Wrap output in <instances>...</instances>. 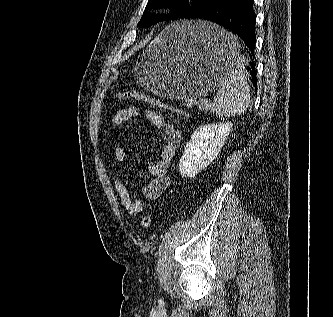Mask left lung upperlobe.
Wrapping results in <instances>:
<instances>
[{"mask_svg":"<svg viewBox=\"0 0 333 317\" xmlns=\"http://www.w3.org/2000/svg\"><path fill=\"white\" fill-rule=\"evenodd\" d=\"M212 1L213 0H149L147 4L148 7H169L173 12L170 15L159 17L145 11L138 26L146 27L163 20L187 18L190 13L207 6Z\"/></svg>","mask_w":333,"mask_h":317,"instance_id":"1","label":"left lung upper lobe"}]
</instances>
